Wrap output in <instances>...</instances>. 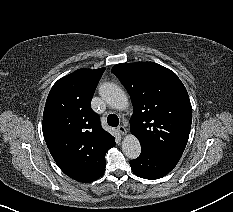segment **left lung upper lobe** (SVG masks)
Segmentation results:
<instances>
[{
    "label": "left lung upper lobe",
    "mask_w": 233,
    "mask_h": 212,
    "mask_svg": "<svg viewBox=\"0 0 233 212\" xmlns=\"http://www.w3.org/2000/svg\"><path fill=\"white\" fill-rule=\"evenodd\" d=\"M111 71L130 94V130L141 149L179 161L189 138L192 107L177 75L153 62L121 63Z\"/></svg>",
    "instance_id": "obj_1"
}]
</instances>
